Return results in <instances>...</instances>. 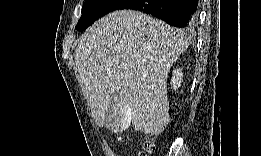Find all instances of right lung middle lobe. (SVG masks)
<instances>
[{
    "label": "right lung middle lobe",
    "instance_id": "obj_1",
    "mask_svg": "<svg viewBox=\"0 0 261 156\" xmlns=\"http://www.w3.org/2000/svg\"><path fill=\"white\" fill-rule=\"evenodd\" d=\"M129 0H85L82 16L76 25L78 31H85L101 16L119 9Z\"/></svg>",
    "mask_w": 261,
    "mask_h": 156
}]
</instances>
